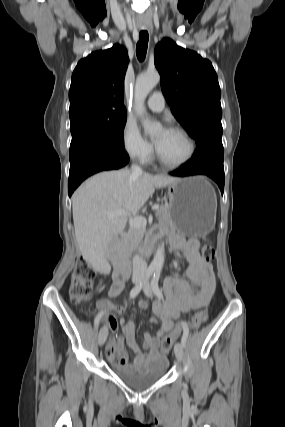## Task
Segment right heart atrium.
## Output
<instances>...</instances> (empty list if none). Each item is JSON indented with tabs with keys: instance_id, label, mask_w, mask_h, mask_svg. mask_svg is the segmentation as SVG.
Here are the masks:
<instances>
[{
	"instance_id": "right-heart-atrium-1",
	"label": "right heart atrium",
	"mask_w": 285,
	"mask_h": 427,
	"mask_svg": "<svg viewBox=\"0 0 285 427\" xmlns=\"http://www.w3.org/2000/svg\"><path fill=\"white\" fill-rule=\"evenodd\" d=\"M122 145L125 152L135 160L147 162L152 157V146L143 137L136 123L131 120H127L123 127Z\"/></svg>"
}]
</instances>
